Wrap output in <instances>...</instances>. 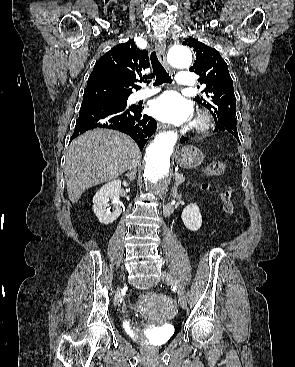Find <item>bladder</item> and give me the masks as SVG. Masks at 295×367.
<instances>
[{
	"label": "bladder",
	"instance_id": "31cf9c89",
	"mask_svg": "<svg viewBox=\"0 0 295 367\" xmlns=\"http://www.w3.org/2000/svg\"><path fill=\"white\" fill-rule=\"evenodd\" d=\"M170 329H173V327L171 326ZM172 333H173V330H168L167 337H170L172 335Z\"/></svg>",
	"mask_w": 295,
	"mask_h": 367
}]
</instances>
